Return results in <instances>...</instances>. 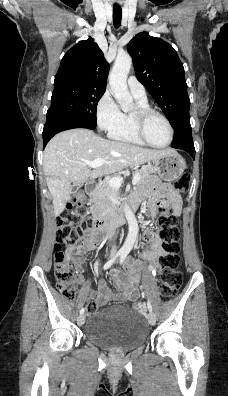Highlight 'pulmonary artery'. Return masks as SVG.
I'll use <instances>...</instances> for the list:
<instances>
[{
	"label": "pulmonary artery",
	"instance_id": "e3ab8cb5",
	"mask_svg": "<svg viewBox=\"0 0 228 396\" xmlns=\"http://www.w3.org/2000/svg\"><path fill=\"white\" fill-rule=\"evenodd\" d=\"M127 85L134 97L146 98L145 87L138 81V79L135 76H130L127 79Z\"/></svg>",
	"mask_w": 228,
	"mask_h": 396
}]
</instances>
